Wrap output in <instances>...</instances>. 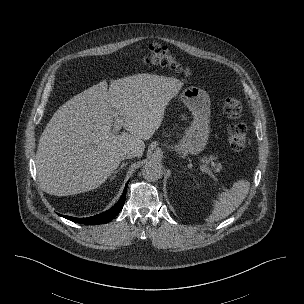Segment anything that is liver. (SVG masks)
Returning <instances> with one entry per match:
<instances>
[{
  "label": "liver",
  "instance_id": "obj_1",
  "mask_svg": "<svg viewBox=\"0 0 304 304\" xmlns=\"http://www.w3.org/2000/svg\"><path fill=\"white\" fill-rule=\"evenodd\" d=\"M183 83L155 74H136L99 82L77 94L54 113L36 154L41 188L67 196L98 188L119 166L126 151L141 157L160 127L165 108ZM113 112L124 132L113 133Z\"/></svg>",
  "mask_w": 304,
  "mask_h": 304
}]
</instances>
